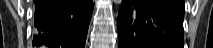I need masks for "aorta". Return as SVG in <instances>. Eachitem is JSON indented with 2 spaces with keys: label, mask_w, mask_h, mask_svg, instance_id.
Instances as JSON below:
<instances>
[{
  "label": "aorta",
  "mask_w": 213,
  "mask_h": 48,
  "mask_svg": "<svg viewBox=\"0 0 213 48\" xmlns=\"http://www.w3.org/2000/svg\"><path fill=\"white\" fill-rule=\"evenodd\" d=\"M113 2L115 3V5L120 6L122 3V0H113Z\"/></svg>",
  "instance_id": "1"
}]
</instances>
